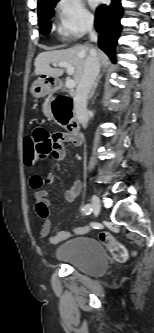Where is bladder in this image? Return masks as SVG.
Returning a JSON list of instances; mask_svg holds the SVG:
<instances>
[{"label":"bladder","instance_id":"31cf9c89","mask_svg":"<svg viewBox=\"0 0 154 333\" xmlns=\"http://www.w3.org/2000/svg\"><path fill=\"white\" fill-rule=\"evenodd\" d=\"M54 258L91 276H102L108 258L104 246L95 238L81 236L64 241L55 251Z\"/></svg>","mask_w":154,"mask_h":333}]
</instances>
